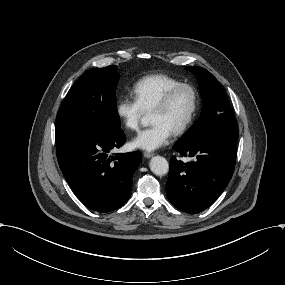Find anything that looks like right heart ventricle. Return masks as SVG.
Returning <instances> with one entry per match:
<instances>
[{"label":"right heart ventricle","mask_w":285,"mask_h":285,"mask_svg":"<svg viewBox=\"0 0 285 285\" xmlns=\"http://www.w3.org/2000/svg\"><path fill=\"white\" fill-rule=\"evenodd\" d=\"M180 80L167 74H153L140 79L134 93L145 111L151 110L165 92Z\"/></svg>","instance_id":"right-heart-ventricle-1"}]
</instances>
